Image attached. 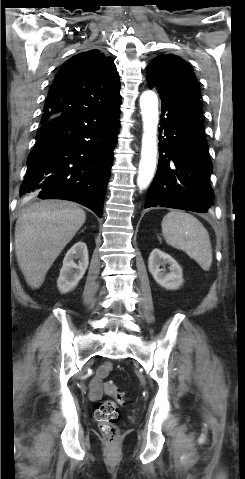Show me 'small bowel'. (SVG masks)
Instances as JSON below:
<instances>
[{
    "label": "small bowel",
    "mask_w": 245,
    "mask_h": 479,
    "mask_svg": "<svg viewBox=\"0 0 245 479\" xmlns=\"http://www.w3.org/2000/svg\"><path fill=\"white\" fill-rule=\"evenodd\" d=\"M112 364L110 362L105 363L98 368L95 377L90 382L89 396L92 400H98L103 395V379L109 374Z\"/></svg>",
    "instance_id": "obj_1"
}]
</instances>
